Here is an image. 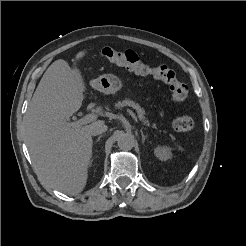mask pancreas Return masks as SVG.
I'll list each match as a JSON object with an SVG mask.
<instances>
[{
	"label": "pancreas",
	"instance_id": "pancreas-1",
	"mask_svg": "<svg viewBox=\"0 0 246 246\" xmlns=\"http://www.w3.org/2000/svg\"><path fill=\"white\" fill-rule=\"evenodd\" d=\"M124 106H130L132 108H134L136 110V112L138 113V116H139V119L146 125H149V122L148 120H146L144 114H145V111L140 107L139 104H137L136 102L134 101H131L129 99H125L123 101H118L116 104H115V107L116 108H122ZM141 116V117H140Z\"/></svg>",
	"mask_w": 246,
	"mask_h": 246
}]
</instances>
